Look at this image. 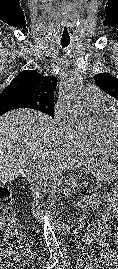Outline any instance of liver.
Listing matches in <instances>:
<instances>
[{
  "instance_id": "liver-1",
  "label": "liver",
  "mask_w": 118,
  "mask_h": 269,
  "mask_svg": "<svg viewBox=\"0 0 118 269\" xmlns=\"http://www.w3.org/2000/svg\"><path fill=\"white\" fill-rule=\"evenodd\" d=\"M83 160L59 147L54 120L33 109H18L0 117V184L23 174L25 165L45 174L97 164ZM42 166H44L42 168Z\"/></svg>"
}]
</instances>
